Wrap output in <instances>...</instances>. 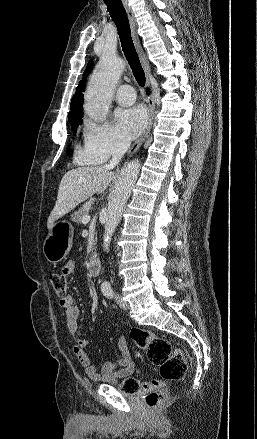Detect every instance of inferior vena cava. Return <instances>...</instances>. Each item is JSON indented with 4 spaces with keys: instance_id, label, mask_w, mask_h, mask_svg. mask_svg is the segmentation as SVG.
Returning <instances> with one entry per match:
<instances>
[{
    "instance_id": "602c4592",
    "label": "inferior vena cava",
    "mask_w": 257,
    "mask_h": 439,
    "mask_svg": "<svg viewBox=\"0 0 257 439\" xmlns=\"http://www.w3.org/2000/svg\"><path fill=\"white\" fill-rule=\"evenodd\" d=\"M130 144H131V142L128 139H125V138L118 139V141L115 143L113 151H112V159H111L110 163L108 165H106L105 167L108 169H112L113 167H115L118 164L119 160L126 153L128 148L130 147Z\"/></svg>"
}]
</instances>
